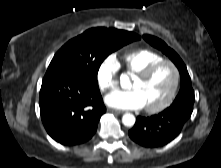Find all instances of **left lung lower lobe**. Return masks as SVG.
<instances>
[{
	"label": "left lung lower lobe",
	"instance_id": "left-lung-lower-lobe-1",
	"mask_svg": "<svg viewBox=\"0 0 221 168\" xmlns=\"http://www.w3.org/2000/svg\"><path fill=\"white\" fill-rule=\"evenodd\" d=\"M195 98L184 97L175 100L164 111L151 117L138 116L129 131L130 138L143 147H161L181 132L193 111Z\"/></svg>",
	"mask_w": 221,
	"mask_h": 168
}]
</instances>
